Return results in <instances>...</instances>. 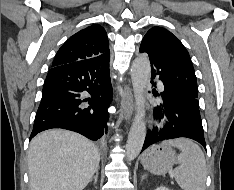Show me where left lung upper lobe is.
<instances>
[{"label": "left lung upper lobe", "instance_id": "5c2ea615", "mask_svg": "<svg viewBox=\"0 0 234 190\" xmlns=\"http://www.w3.org/2000/svg\"><path fill=\"white\" fill-rule=\"evenodd\" d=\"M140 52L157 58L165 67L170 87L199 107L194 67L188 51L177 37L162 27H153L143 37Z\"/></svg>", "mask_w": 234, "mask_h": 190}]
</instances>
